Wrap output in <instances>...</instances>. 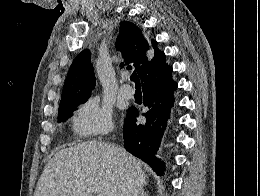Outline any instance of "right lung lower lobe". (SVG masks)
Masks as SVG:
<instances>
[{
    "instance_id": "right-lung-lower-lobe-1",
    "label": "right lung lower lobe",
    "mask_w": 260,
    "mask_h": 196,
    "mask_svg": "<svg viewBox=\"0 0 260 196\" xmlns=\"http://www.w3.org/2000/svg\"><path fill=\"white\" fill-rule=\"evenodd\" d=\"M142 88L143 103L148 108V111L142 114L146 122L136 123L137 109L129 108L123 127L124 146L161 175L164 164L155 154L174 104L173 92L177 89V83L172 80L171 70L159 79L144 82Z\"/></svg>"
}]
</instances>
